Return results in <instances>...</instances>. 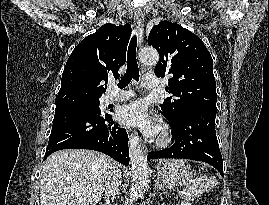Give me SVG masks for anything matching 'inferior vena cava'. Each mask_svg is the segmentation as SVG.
<instances>
[{
  "label": "inferior vena cava",
  "instance_id": "1",
  "mask_svg": "<svg viewBox=\"0 0 269 205\" xmlns=\"http://www.w3.org/2000/svg\"><path fill=\"white\" fill-rule=\"evenodd\" d=\"M121 181H122L121 171L118 168L117 164L113 162L109 166L107 180L105 184L106 205L110 203L111 198H114L118 194Z\"/></svg>",
  "mask_w": 269,
  "mask_h": 205
}]
</instances>
